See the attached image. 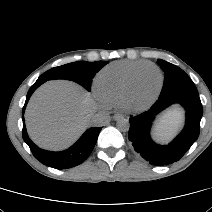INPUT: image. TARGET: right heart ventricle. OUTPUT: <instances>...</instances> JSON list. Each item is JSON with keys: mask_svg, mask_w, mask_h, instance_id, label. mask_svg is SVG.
Masks as SVG:
<instances>
[{"mask_svg": "<svg viewBox=\"0 0 212 212\" xmlns=\"http://www.w3.org/2000/svg\"><path fill=\"white\" fill-rule=\"evenodd\" d=\"M147 61H117L104 67L95 78V87L105 105H119L132 73Z\"/></svg>", "mask_w": 212, "mask_h": 212, "instance_id": "obj_1", "label": "right heart ventricle"}]
</instances>
